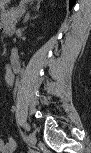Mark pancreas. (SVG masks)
<instances>
[{"instance_id":"pancreas-1","label":"pancreas","mask_w":91,"mask_h":153,"mask_svg":"<svg viewBox=\"0 0 91 153\" xmlns=\"http://www.w3.org/2000/svg\"><path fill=\"white\" fill-rule=\"evenodd\" d=\"M21 13V9H15L7 13H2L1 20L5 29H10L13 26V23L17 22V18Z\"/></svg>"}]
</instances>
